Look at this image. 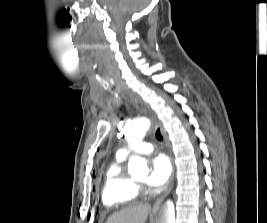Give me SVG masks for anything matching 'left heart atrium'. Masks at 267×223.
Returning a JSON list of instances; mask_svg holds the SVG:
<instances>
[{"label":"left heart atrium","instance_id":"1","mask_svg":"<svg viewBox=\"0 0 267 223\" xmlns=\"http://www.w3.org/2000/svg\"><path fill=\"white\" fill-rule=\"evenodd\" d=\"M172 162L166 154H157L151 159L147 182L153 187L164 186L172 174Z\"/></svg>","mask_w":267,"mask_h":223}]
</instances>
